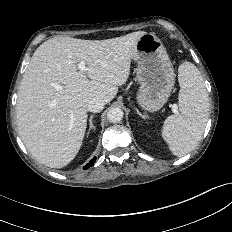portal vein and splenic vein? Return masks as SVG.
<instances>
[{
    "label": "portal vein and splenic vein",
    "mask_w": 232,
    "mask_h": 232,
    "mask_svg": "<svg viewBox=\"0 0 232 232\" xmlns=\"http://www.w3.org/2000/svg\"><path fill=\"white\" fill-rule=\"evenodd\" d=\"M78 69L81 71V72H85L88 70V68L86 67V64L84 61H81L78 63Z\"/></svg>",
    "instance_id": "obj_1"
}]
</instances>
